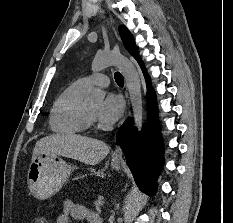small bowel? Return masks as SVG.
I'll list each match as a JSON object with an SVG mask.
<instances>
[{"label":"small bowel","mask_w":233,"mask_h":223,"mask_svg":"<svg viewBox=\"0 0 233 223\" xmlns=\"http://www.w3.org/2000/svg\"><path fill=\"white\" fill-rule=\"evenodd\" d=\"M86 221L87 223H101L99 216L89 208L66 199L62 204V212L56 223H71V220Z\"/></svg>","instance_id":"small-bowel-1"}]
</instances>
